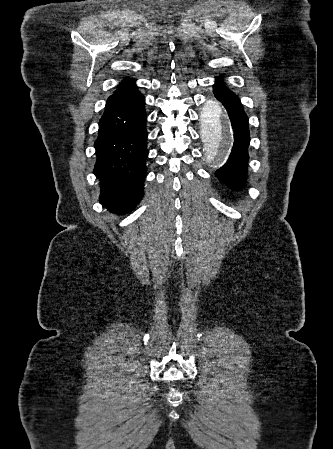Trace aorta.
<instances>
[{
  "label": "aorta",
  "mask_w": 333,
  "mask_h": 449,
  "mask_svg": "<svg viewBox=\"0 0 333 449\" xmlns=\"http://www.w3.org/2000/svg\"><path fill=\"white\" fill-rule=\"evenodd\" d=\"M203 142L212 161L223 159L232 145V131L224 109L217 102L205 105Z\"/></svg>",
  "instance_id": "1"
}]
</instances>
